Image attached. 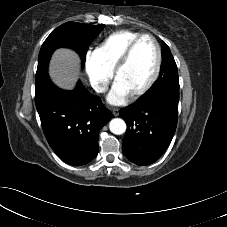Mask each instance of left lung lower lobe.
<instances>
[{
  "label": "left lung lower lobe",
  "mask_w": 227,
  "mask_h": 227,
  "mask_svg": "<svg viewBox=\"0 0 227 227\" xmlns=\"http://www.w3.org/2000/svg\"><path fill=\"white\" fill-rule=\"evenodd\" d=\"M178 102L179 95L157 92L120 110L127 124L122 150L131 162L149 165L166 151L177 126Z\"/></svg>",
  "instance_id": "obj_1"
}]
</instances>
